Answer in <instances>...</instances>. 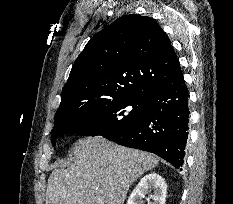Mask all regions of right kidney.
Instances as JSON below:
<instances>
[{
  "instance_id": "right-kidney-1",
  "label": "right kidney",
  "mask_w": 233,
  "mask_h": 204,
  "mask_svg": "<svg viewBox=\"0 0 233 204\" xmlns=\"http://www.w3.org/2000/svg\"><path fill=\"white\" fill-rule=\"evenodd\" d=\"M166 191L165 180L157 173H149L140 180L126 204H141L145 195L151 192H153V195L151 194L149 198H152L153 202L150 204H165ZM149 198H147L148 201Z\"/></svg>"
}]
</instances>
